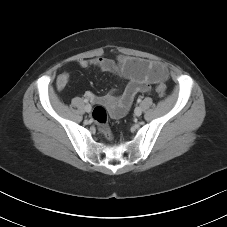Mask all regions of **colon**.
Here are the masks:
<instances>
[{
    "mask_svg": "<svg viewBox=\"0 0 227 227\" xmlns=\"http://www.w3.org/2000/svg\"><path fill=\"white\" fill-rule=\"evenodd\" d=\"M157 69L161 72H165V69L160 65H157ZM156 91L160 97H164L166 95V85L160 83L156 87ZM92 119L99 126L102 135L106 139L112 140V133L107 123L106 109L103 106H96L92 112Z\"/></svg>",
    "mask_w": 227,
    "mask_h": 227,
    "instance_id": "5ec220e1",
    "label": "colon"
}]
</instances>
